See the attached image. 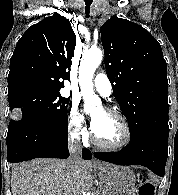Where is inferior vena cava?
<instances>
[{"mask_svg":"<svg viewBox=\"0 0 178 195\" xmlns=\"http://www.w3.org/2000/svg\"><path fill=\"white\" fill-rule=\"evenodd\" d=\"M81 150L82 146L80 142V137H71L69 139L70 158L68 162L73 172L78 171V167L81 161Z\"/></svg>","mask_w":178,"mask_h":195,"instance_id":"obj_1","label":"inferior vena cava"}]
</instances>
